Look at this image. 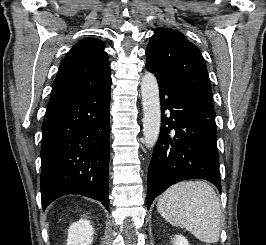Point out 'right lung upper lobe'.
I'll use <instances>...</instances> for the list:
<instances>
[{"instance_id": "1", "label": "right lung upper lobe", "mask_w": 266, "mask_h": 245, "mask_svg": "<svg viewBox=\"0 0 266 245\" xmlns=\"http://www.w3.org/2000/svg\"><path fill=\"white\" fill-rule=\"evenodd\" d=\"M100 39L86 38L76 43L62 60L52 86L49 107L84 88L111 82L110 63Z\"/></svg>"}]
</instances>
